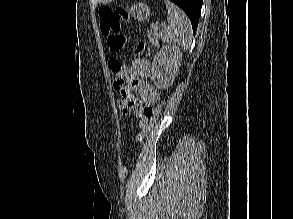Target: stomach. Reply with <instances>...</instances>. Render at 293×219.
Here are the masks:
<instances>
[{"instance_id":"1","label":"stomach","mask_w":293,"mask_h":219,"mask_svg":"<svg viewBox=\"0 0 293 219\" xmlns=\"http://www.w3.org/2000/svg\"><path fill=\"white\" fill-rule=\"evenodd\" d=\"M128 13L139 22L146 21L150 16V9L145 3H137L128 9Z\"/></svg>"}]
</instances>
